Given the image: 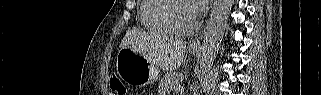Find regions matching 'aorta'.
Here are the masks:
<instances>
[{"label":"aorta","mask_w":321,"mask_h":95,"mask_svg":"<svg viewBox=\"0 0 321 95\" xmlns=\"http://www.w3.org/2000/svg\"><path fill=\"white\" fill-rule=\"evenodd\" d=\"M234 0H215L211 15L204 33L203 45L200 55L198 79L202 82L213 65L219 45L223 39L229 14Z\"/></svg>","instance_id":"1"}]
</instances>
